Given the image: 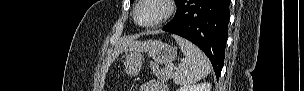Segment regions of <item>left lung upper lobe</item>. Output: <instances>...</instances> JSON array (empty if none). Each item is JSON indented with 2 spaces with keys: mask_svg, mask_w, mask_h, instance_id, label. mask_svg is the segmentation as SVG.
Segmentation results:
<instances>
[{
  "mask_svg": "<svg viewBox=\"0 0 304 91\" xmlns=\"http://www.w3.org/2000/svg\"><path fill=\"white\" fill-rule=\"evenodd\" d=\"M134 0H130V2L132 3ZM180 0H175L176 5L179 3Z\"/></svg>",
  "mask_w": 304,
  "mask_h": 91,
  "instance_id": "obj_1",
  "label": "left lung upper lobe"
}]
</instances>
